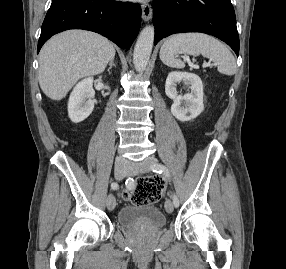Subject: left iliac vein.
<instances>
[{"mask_svg":"<svg viewBox=\"0 0 286 269\" xmlns=\"http://www.w3.org/2000/svg\"><path fill=\"white\" fill-rule=\"evenodd\" d=\"M159 164L158 160L155 157H147L142 162L131 163L129 167L128 174L131 176L138 175L139 173H143L151 170L152 165ZM165 210L168 213H172L174 211V205L170 199H167L165 202Z\"/></svg>","mask_w":286,"mask_h":269,"instance_id":"left-iliac-vein-1","label":"left iliac vein"}]
</instances>
